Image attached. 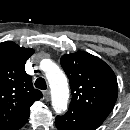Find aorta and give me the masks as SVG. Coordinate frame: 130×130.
<instances>
[{
    "instance_id": "1",
    "label": "aorta",
    "mask_w": 130,
    "mask_h": 130,
    "mask_svg": "<svg viewBox=\"0 0 130 130\" xmlns=\"http://www.w3.org/2000/svg\"><path fill=\"white\" fill-rule=\"evenodd\" d=\"M42 63L47 65L46 77L51 88L53 109L56 113L64 112L69 98L67 78L52 61L43 60Z\"/></svg>"
}]
</instances>
